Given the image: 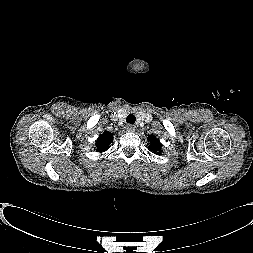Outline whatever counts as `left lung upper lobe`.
Here are the masks:
<instances>
[{
    "mask_svg": "<svg viewBox=\"0 0 253 253\" xmlns=\"http://www.w3.org/2000/svg\"><path fill=\"white\" fill-rule=\"evenodd\" d=\"M149 141H150V150L153 152V153H156V154H160L161 153V144L159 142V140L155 137V136H151L149 137Z\"/></svg>",
    "mask_w": 253,
    "mask_h": 253,
    "instance_id": "1",
    "label": "left lung upper lobe"
}]
</instances>
